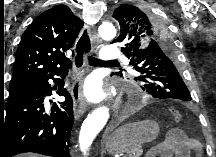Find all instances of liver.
<instances>
[{"label": "liver", "mask_w": 216, "mask_h": 157, "mask_svg": "<svg viewBox=\"0 0 216 157\" xmlns=\"http://www.w3.org/2000/svg\"><path fill=\"white\" fill-rule=\"evenodd\" d=\"M20 157H40V156L34 153H25V154H21Z\"/></svg>", "instance_id": "1"}]
</instances>
